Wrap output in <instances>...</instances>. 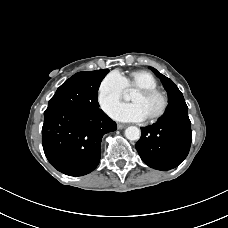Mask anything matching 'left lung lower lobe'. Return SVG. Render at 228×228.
Instances as JSON below:
<instances>
[{
	"label": "left lung lower lobe",
	"mask_w": 228,
	"mask_h": 228,
	"mask_svg": "<svg viewBox=\"0 0 228 228\" xmlns=\"http://www.w3.org/2000/svg\"><path fill=\"white\" fill-rule=\"evenodd\" d=\"M187 112L184 97H178L169 102L155 124L141 128V138L135 147L149 167L170 170L187 157L192 141Z\"/></svg>",
	"instance_id": "0a47b994"
}]
</instances>
